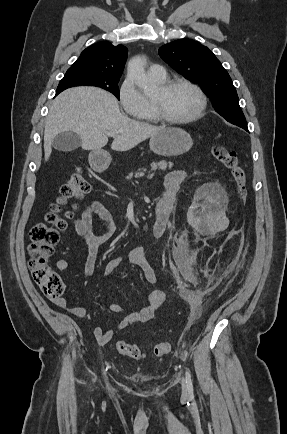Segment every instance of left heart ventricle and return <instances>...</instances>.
Masks as SVG:
<instances>
[{
    "instance_id": "1",
    "label": "left heart ventricle",
    "mask_w": 287,
    "mask_h": 434,
    "mask_svg": "<svg viewBox=\"0 0 287 434\" xmlns=\"http://www.w3.org/2000/svg\"><path fill=\"white\" fill-rule=\"evenodd\" d=\"M153 99L162 105L168 116L175 119L192 115L198 107L197 95L186 86H177L169 91L158 88Z\"/></svg>"
}]
</instances>
